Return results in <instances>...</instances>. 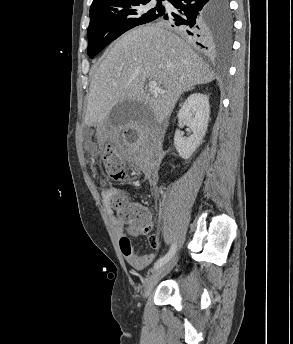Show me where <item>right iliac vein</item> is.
I'll use <instances>...</instances> for the list:
<instances>
[{
  "label": "right iliac vein",
  "mask_w": 293,
  "mask_h": 344,
  "mask_svg": "<svg viewBox=\"0 0 293 344\" xmlns=\"http://www.w3.org/2000/svg\"><path fill=\"white\" fill-rule=\"evenodd\" d=\"M175 262L176 259H173L152 273L145 283L143 292L144 297H147L151 293L155 285L172 269Z\"/></svg>",
  "instance_id": "right-iliac-vein-1"
}]
</instances>
